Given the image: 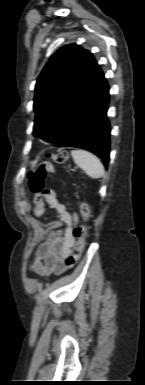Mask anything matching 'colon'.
<instances>
[{"instance_id": "1", "label": "colon", "mask_w": 145, "mask_h": 385, "mask_svg": "<svg viewBox=\"0 0 145 385\" xmlns=\"http://www.w3.org/2000/svg\"><path fill=\"white\" fill-rule=\"evenodd\" d=\"M47 159L48 160L38 165L29 177V188L35 194V202L39 201V196L43 191L46 176L49 173L55 172V168L50 160L57 164H64L68 160V154L66 152L51 153L47 154ZM80 214L83 219V223L75 226L72 232L76 242L72 253L68 258V264L70 266H74L77 263L85 247L88 222L91 216L90 207L85 201L80 202Z\"/></svg>"}]
</instances>
